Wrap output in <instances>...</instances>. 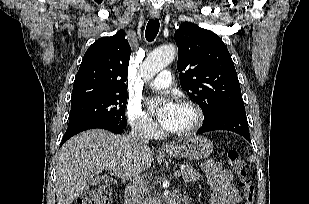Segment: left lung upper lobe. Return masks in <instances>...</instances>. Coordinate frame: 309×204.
Returning <instances> with one entry per match:
<instances>
[{
	"label": "left lung upper lobe",
	"instance_id": "left-lung-upper-lobe-1",
	"mask_svg": "<svg viewBox=\"0 0 309 204\" xmlns=\"http://www.w3.org/2000/svg\"><path fill=\"white\" fill-rule=\"evenodd\" d=\"M181 87L202 109L204 118L230 105L243 104L237 73L218 35L185 22L175 31Z\"/></svg>",
	"mask_w": 309,
	"mask_h": 204
}]
</instances>
